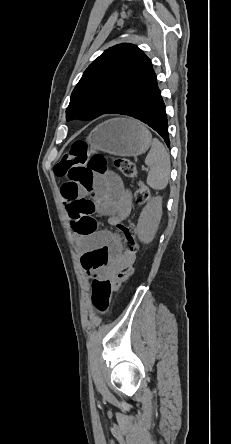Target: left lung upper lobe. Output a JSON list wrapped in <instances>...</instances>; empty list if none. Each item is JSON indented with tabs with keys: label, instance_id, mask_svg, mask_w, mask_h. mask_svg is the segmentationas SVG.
<instances>
[{
	"label": "left lung upper lobe",
	"instance_id": "1",
	"mask_svg": "<svg viewBox=\"0 0 231 444\" xmlns=\"http://www.w3.org/2000/svg\"><path fill=\"white\" fill-rule=\"evenodd\" d=\"M152 69L150 59L137 46L110 47L85 70L71 94L66 119L117 113Z\"/></svg>",
	"mask_w": 231,
	"mask_h": 444
}]
</instances>
